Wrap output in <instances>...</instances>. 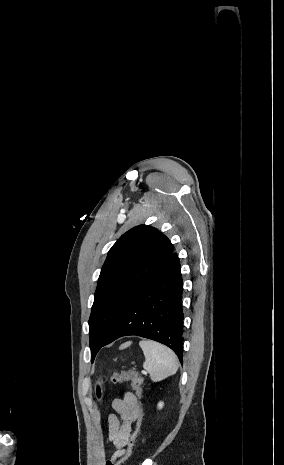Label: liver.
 Here are the masks:
<instances>
[{
  "label": "liver",
  "mask_w": 284,
  "mask_h": 465,
  "mask_svg": "<svg viewBox=\"0 0 284 465\" xmlns=\"http://www.w3.org/2000/svg\"><path fill=\"white\" fill-rule=\"evenodd\" d=\"M130 345H131V341H128V343H123V345H121L119 349H127V347H130Z\"/></svg>",
  "instance_id": "1"
}]
</instances>
